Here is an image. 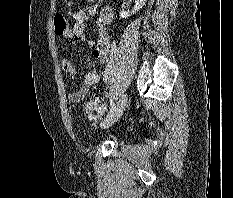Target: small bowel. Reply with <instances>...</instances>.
Listing matches in <instances>:
<instances>
[{
    "label": "small bowel",
    "mask_w": 233,
    "mask_h": 198,
    "mask_svg": "<svg viewBox=\"0 0 233 198\" xmlns=\"http://www.w3.org/2000/svg\"><path fill=\"white\" fill-rule=\"evenodd\" d=\"M89 1V0H86ZM113 19V11L110 7H104L96 17V24L99 28L100 34L97 45L92 51V56L95 60L101 63H108L111 56L112 45L110 38L106 33V27ZM87 21V12L85 9H79L74 13V23L62 35L63 39L70 43L76 44L83 41L85 38V23ZM63 71L70 77L75 78L77 70L73 63L68 58L61 60ZM100 81L98 72L91 70L86 73L83 83L79 90L69 94L70 102L76 104L80 103L88 93L89 89Z\"/></svg>",
    "instance_id": "small-bowel-1"
}]
</instances>
